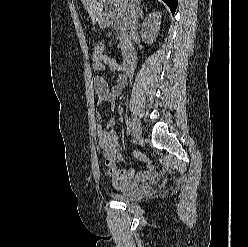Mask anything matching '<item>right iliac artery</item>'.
Wrapping results in <instances>:
<instances>
[{
    "label": "right iliac artery",
    "instance_id": "obj_1",
    "mask_svg": "<svg viewBox=\"0 0 248 247\" xmlns=\"http://www.w3.org/2000/svg\"><path fill=\"white\" fill-rule=\"evenodd\" d=\"M126 125H127L126 135H127V137H129L131 135V132H132V125H131V122L128 118L126 119Z\"/></svg>",
    "mask_w": 248,
    "mask_h": 247
}]
</instances>
